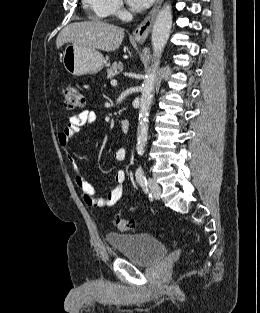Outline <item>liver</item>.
<instances>
[{"label":"liver","mask_w":260,"mask_h":313,"mask_svg":"<svg viewBox=\"0 0 260 313\" xmlns=\"http://www.w3.org/2000/svg\"><path fill=\"white\" fill-rule=\"evenodd\" d=\"M124 38V29L103 21H82L67 25L58 35L56 46L72 43L106 52L117 50Z\"/></svg>","instance_id":"1"}]
</instances>
